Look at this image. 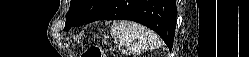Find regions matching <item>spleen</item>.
<instances>
[{"label": "spleen", "instance_id": "spleen-1", "mask_svg": "<svg viewBox=\"0 0 249 57\" xmlns=\"http://www.w3.org/2000/svg\"><path fill=\"white\" fill-rule=\"evenodd\" d=\"M115 42L140 54L161 46L160 39L150 29L132 21H117L111 27Z\"/></svg>", "mask_w": 249, "mask_h": 57}]
</instances>
